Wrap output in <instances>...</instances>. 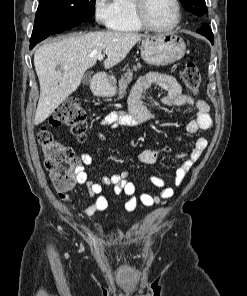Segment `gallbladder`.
I'll list each match as a JSON object with an SVG mask.
<instances>
[{
    "label": "gallbladder",
    "mask_w": 247,
    "mask_h": 296,
    "mask_svg": "<svg viewBox=\"0 0 247 296\" xmlns=\"http://www.w3.org/2000/svg\"><path fill=\"white\" fill-rule=\"evenodd\" d=\"M83 81L85 84H89L90 81H91V75L90 74H86L84 77H83Z\"/></svg>",
    "instance_id": "gallbladder-1"
}]
</instances>
